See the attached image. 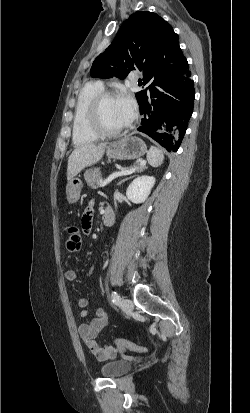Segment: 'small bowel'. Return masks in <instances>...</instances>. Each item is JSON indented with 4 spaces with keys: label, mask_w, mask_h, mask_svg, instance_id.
Listing matches in <instances>:
<instances>
[{
    "label": "small bowel",
    "mask_w": 250,
    "mask_h": 413,
    "mask_svg": "<svg viewBox=\"0 0 250 413\" xmlns=\"http://www.w3.org/2000/svg\"><path fill=\"white\" fill-rule=\"evenodd\" d=\"M93 210L88 207L82 217L81 233L83 237H88L92 226ZM95 266L91 265L86 270L79 268L69 269L64 273L68 281L76 280L80 275H90L94 272ZM88 301L86 298H79L76 301V307L80 309V316L85 319L78 327V333L83 340L87 349L99 360L113 359L117 350L112 345L100 346L96 338L101 330L108 324V316L101 308L96 309L94 316L91 317L90 310L87 308Z\"/></svg>",
    "instance_id": "obj_1"
}]
</instances>
